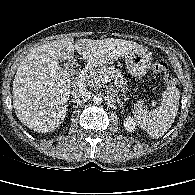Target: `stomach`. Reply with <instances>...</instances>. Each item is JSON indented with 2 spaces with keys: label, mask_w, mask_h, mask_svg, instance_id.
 <instances>
[{
  "label": "stomach",
  "mask_w": 195,
  "mask_h": 195,
  "mask_svg": "<svg viewBox=\"0 0 195 195\" xmlns=\"http://www.w3.org/2000/svg\"><path fill=\"white\" fill-rule=\"evenodd\" d=\"M124 57L129 73L135 77H143L150 69L151 53L143 46L132 48Z\"/></svg>",
  "instance_id": "obj_1"
}]
</instances>
